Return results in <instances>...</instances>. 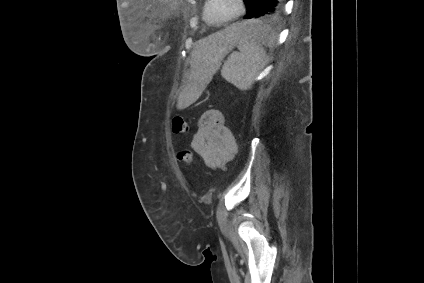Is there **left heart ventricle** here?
<instances>
[{
	"label": "left heart ventricle",
	"instance_id": "obj_1",
	"mask_svg": "<svg viewBox=\"0 0 424 283\" xmlns=\"http://www.w3.org/2000/svg\"><path fill=\"white\" fill-rule=\"evenodd\" d=\"M235 10V0H213L209 7V15L211 19H221L232 15Z\"/></svg>",
	"mask_w": 424,
	"mask_h": 283
}]
</instances>
